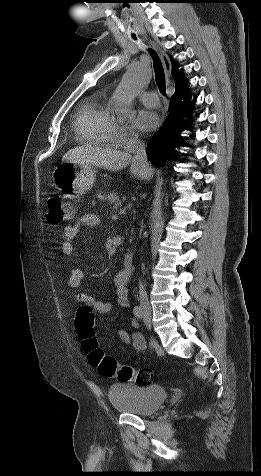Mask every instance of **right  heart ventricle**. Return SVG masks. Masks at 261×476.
Segmentation results:
<instances>
[{"label":"right heart ventricle","mask_w":261,"mask_h":476,"mask_svg":"<svg viewBox=\"0 0 261 476\" xmlns=\"http://www.w3.org/2000/svg\"><path fill=\"white\" fill-rule=\"evenodd\" d=\"M75 123L83 143L113 144L116 124L109 113L105 94L95 93L87 97L77 112Z\"/></svg>","instance_id":"right-heart-ventricle-1"}]
</instances>
